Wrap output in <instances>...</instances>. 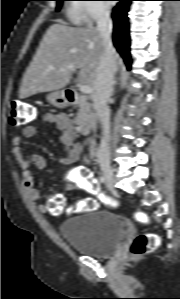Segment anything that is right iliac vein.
I'll return each instance as SVG.
<instances>
[{"instance_id": "1", "label": "right iliac vein", "mask_w": 180, "mask_h": 299, "mask_svg": "<svg viewBox=\"0 0 180 299\" xmlns=\"http://www.w3.org/2000/svg\"><path fill=\"white\" fill-rule=\"evenodd\" d=\"M101 171L105 177L106 185L109 189L113 188L114 177H113V169L110 163L106 160H102L100 163Z\"/></svg>"}]
</instances>
